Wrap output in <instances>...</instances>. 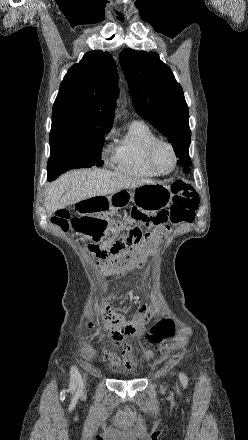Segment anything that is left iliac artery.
I'll return each mask as SVG.
<instances>
[{"label":"left iliac artery","mask_w":248,"mask_h":440,"mask_svg":"<svg viewBox=\"0 0 248 440\" xmlns=\"http://www.w3.org/2000/svg\"><path fill=\"white\" fill-rule=\"evenodd\" d=\"M179 377H180V381H181L182 386L185 388L188 383V379H187L186 375L183 373H180Z\"/></svg>","instance_id":"left-iliac-artery-1"}]
</instances>
